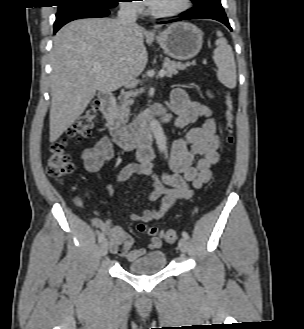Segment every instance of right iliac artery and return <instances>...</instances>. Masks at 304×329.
<instances>
[{"label":"right iliac artery","instance_id":"1","mask_svg":"<svg viewBox=\"0 0 304 329\" xmlns=\"http://www.w3.org/2000/svg\"><path fill=\"white\" fill-rule=\"evenodd\" d=\"M104 239H105V235H104V233H100V234H99V237H98V241H99V242H102Z\"/></svg>","mask_w":304,"mask_h":329}]
</instances>
